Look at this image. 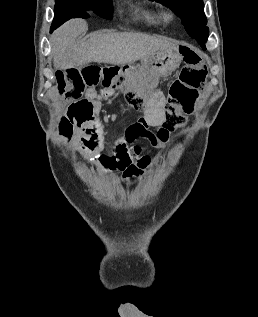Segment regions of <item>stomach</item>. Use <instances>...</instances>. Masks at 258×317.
<instances>
[{
  "label": "stomach",
  "instance_id": "1",
  "mask_svg": "<svg viewBox=\"0 0 258 317\" xmlns=\"http://www.w3.org/2000/svg\"><path fill=\"white\" fill-rule=\"evenodd\" d=\"M182 58L180 44H177L171 50H155V52H150L148 56L141 58V66H135V64L129 62L126 68L135 70L138 74L157 72L160 76H169L175 68H178L180 62H182Z\"/></svg>",
  "mask_w": 258,
  "mask_h": 317
}]
</instances>
